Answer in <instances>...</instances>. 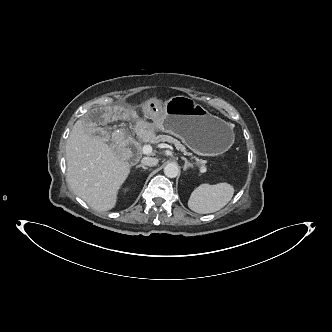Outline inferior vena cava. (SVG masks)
<instances>
[{
    "instance_id": "inferior-vena-cava-1",
    "label": "inferior vena cava",
    "mask_w": 332,
    "mask_h": 332,
    "mask_svg": "<svg viewBox=\"0 0 332 332\" xmlns=\"http://www.w3.org/2000/svg\"><path fill=\"white\" fill-rule=\"evenodd\" d=\"M141 163L146 166H156L158 164V159L157 158H152V157H144L141 160Z\"/></svg>"
}]
</instances>
